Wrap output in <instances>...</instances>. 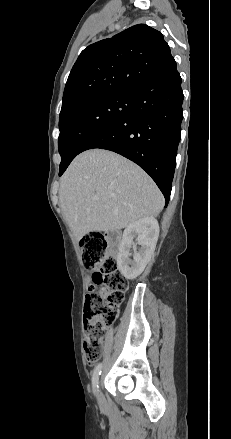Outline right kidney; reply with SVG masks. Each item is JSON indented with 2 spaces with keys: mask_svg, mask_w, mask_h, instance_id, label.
<instances>
[{
  "mask_svg": "<svg viewBox=\"0 0 231 439\" xmlns=\"http://www.w3.org/2000/svg\"><path fill=\"white\" fill-rule=\"evenodd\" d=\"M159 236L158 221L154 217L142 218L129 225L123 232V238L119 246L117 265L126 279L133 280L145 269L150 260ZM141 247L137 251L133 239ZM134 247L133 259L131 248Z\"/></svg>",
  "mask_w": 231,
  "mask_h": 439,
  "instance_id": "1",
  "label": "right kidney"
}]
</instances>
